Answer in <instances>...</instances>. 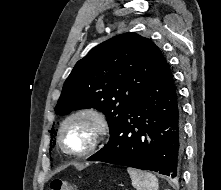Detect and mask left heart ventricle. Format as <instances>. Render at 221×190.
<instances>
[{
  "label": "left heart ventricle",
  "mask_w": 221,
  "mask_h": 190,
  "mask_svg": "<svg viewBox=\"0 0 221 190\" xmlns=\"http://www.w3.org/2000/svg\"><path fill=\"white\" fill-rule=\"evenodd\" d=\"M95 132L93 122L86 117H78L70 121L63 133L64 143L74 150H82L89 146Z\"/></svg>",
  "instance_id": "b2bd125f"
}]
</instances>
